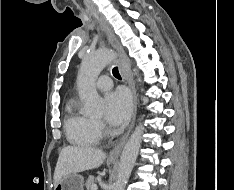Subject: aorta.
<instances>
[{"label":"aorta","mask_w":234,"mask_h":190,"mask_svg":"<svg viewBox=\"0 0 234 190\" xmlns=\"http://www.w3.org/2000/svg\"><path fill=\"white\" fill-rule=\"evenodd\" d=\"M114 57L115 53L112 50L100 49L87 54L82 60L77 76V85L79 96L84 103V112L87 114H96L101 110L102 99L96 90L95 82L100 72ZM143 132L144 127L140 123L125 144L120 158L114 190H124L135 165Z\"/></svg>","instance_id":"762f6f07"}]
</instances>
